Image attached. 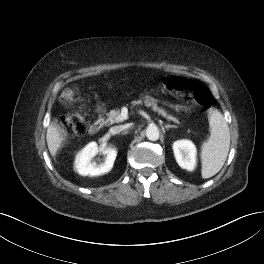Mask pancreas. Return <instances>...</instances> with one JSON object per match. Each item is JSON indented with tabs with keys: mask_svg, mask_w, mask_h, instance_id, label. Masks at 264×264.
I'll list each match as a JSON object with an SVG mask.
<instances>
[{
	"mask_svg": "<svg viewBox=\"0 0 264 264\" xmlns=\"http://www.w3.org/2000/svg\"><path fill=\"white\" fill-rule=\"evenodd\" d=\"M144 104L146 107H152V109L157 112L159 115L163 116L167 120H171L175 122L176 124H180L179 120L169 114L157 106V104L154 101L151 100H145L144 102L142 100L134 101L133 105H142ZM121 111L119 109L111 110L109 113H107L108 118L105 120L106 125H112L117 121V118L120 116Z\"/></svg>",
	"mask_w": 264,
	"mask_h": 264,
	"instance_id": "1",
	"label": "pancreas"
}]
</instances>
